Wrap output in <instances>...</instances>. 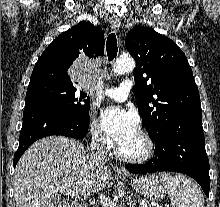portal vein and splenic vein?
Listing matches in <instances>:
<instances>
[{"instance_id": "obj_1", "label": "portal vein and splenic vein", "mask_w": 220, "mask_h": 207, "mask_svg": "<svg viewBox=\"0 0 220 207\" xmlns=\"http://www.w3.org/2000/svg\"><path fill=\"white\" fill-rule=\"evenodd\" d=\"M54 191L60 192L62 194L68 195V196H71L72 198L73 197L74 198H78V199L81 198V200L85 199V198H82L79 194L75 193L73 190H71V189H69L67 187H57V188H55ZM141 207H147V206L142 204Z\"/></svg>"}]
</instances>
